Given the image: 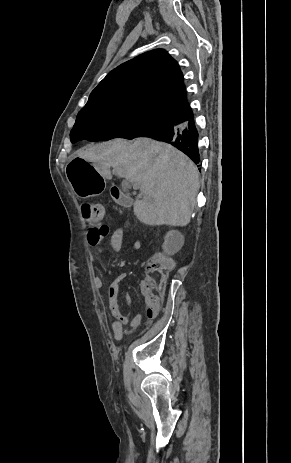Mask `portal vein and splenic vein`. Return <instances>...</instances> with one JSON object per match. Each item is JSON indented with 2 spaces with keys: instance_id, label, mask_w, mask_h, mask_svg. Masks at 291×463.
<instances>
[{
  "instance_id": "portal-vein-and-splenic-vein-1",
  "label": "portal vein and splenic vein",
  "mask_w": 291,
  "mask_h": 463,
  "mask_svg": "<svg viewBox=\"0 0 291 463\" xmlns=\"http://www.w3.org/2000/svg\"><path fill=\"white\" fill-rule=\"evenodd\" d=\"M133 185V188L136 189L138 187V184L137 183H132Z\"/></svg>"
}]
</instances>
